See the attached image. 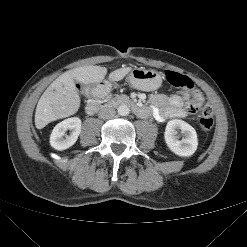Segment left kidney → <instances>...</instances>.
<instances>
[{
    "instance_id": "left-kidney-1",
    "label": "left kidney",
    "mask_w": 247,
    "mask_h": 247,
    "mask_svg": "<svg viewBox=\"0 0 247 247\" xmlns=\"http://www.w3.org/2000/svg\"><path fill=\"white\" fill-rule=\"evenodd\" d=\"M177 130L181 131L183 138L179 140ZM165 143L168 148L178 156H191L197 149L198 138L195 129L183 120H170L164 132Z\"/></svg>"
}]
</instances>
